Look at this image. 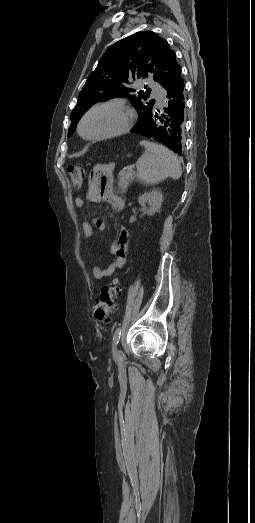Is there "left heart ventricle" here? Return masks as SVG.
Here are the masks:
<instances>
[{
  "mask_svg": "<svg viewBox=\"0 0 255 523\" xmlns=\"http://www.w3.org/2000/svg\"><path fill=\"white\" fill-rule=\"evenodd\" d=\"M127 120V113L112 108H99L92 111L84 121L83 133L96 137L120 130Z\"/></svg>",
  "mask_w": 255,
  "mask_h": 523,
  "instance_id": "b2bd125f",
  "label": "left heart ventricle"
}]
</instances>
